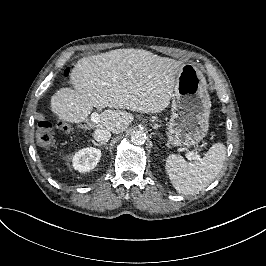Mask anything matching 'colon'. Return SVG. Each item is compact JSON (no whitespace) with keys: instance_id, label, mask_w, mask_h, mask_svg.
I'll list each match as a JSON object with an SVG mask.
<instances>
[{"instance_id":"1","label":"colon","mask_w":266,"mask_h":266,"mask_svg":"<svg viewBox=\"0 0 266 266\" xmlns=\"http://www.w3.org/2000/svg\"><path fill=\"white\" fill-rule=\"evenodd\" d=\"M70 75V69H65L63 76L67 78ZM37 138L45 146H50L54 142L55 130L51 121L45 119L37 124Z\"/></svg>"}]
</instances>
